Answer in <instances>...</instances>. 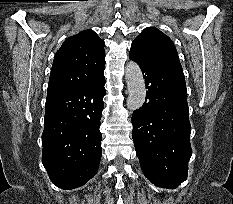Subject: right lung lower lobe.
Instances as JSON below:
<instances>
[{
    "label": "right lung lower lobe",
    "mask_w": 233,
    "mask_h": 204,
    "mask_svg": "<svg viewBox=\"0 0 233 204\" xmlns=\"http://www.w3.org/2000/svg\"><path fill=\"white\" fill-rule=\"evenodd\" d=\"M104 85L102 70L86 85L46 99L42 163L59 188L80 187L98 171Z\"/></svg>",
    "instance_id": "98d812e1"
}]
</instances>
